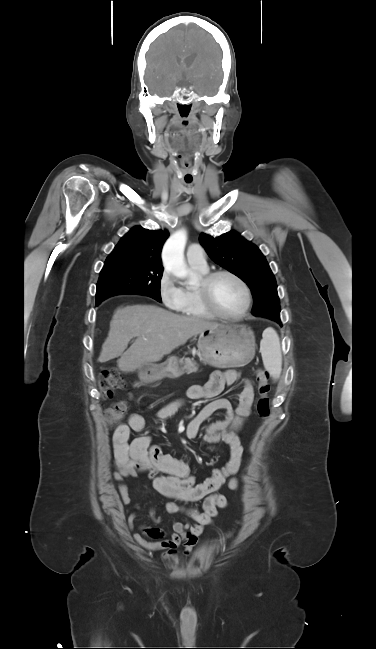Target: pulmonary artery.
Masks as SVG:
<instances>
[{"label":"pulmonary artery","instance_id":"1","mask_svg":"<svg viewBox=\"0 0 376 649\" xmlns=\"http://www.w3.org/2000/svg\"><path fill=\"white\" fill-rule=\"evenodd\" d=\"M186 257L191 266L207 267L204 249L199 244H191L187 249Z\"/></svg>","mask_w":376,"mask_h":649}]
</instances>
